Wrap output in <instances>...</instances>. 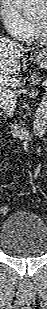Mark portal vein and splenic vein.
Segmentation results:
<instances>
[{
	"label": "portal vein and splenic vein",
	"mask_w": 47,
	"mask_h": 309,
	"mask_svg": "<svg viewBox=\"0 0 47 309\" xmlns=\"http://www.w3.org/2000/svg\"><path fill=\"white\" fill-rule=\"evenodd\" d=\"M2 84H8L10 86H18L20 84L19 80L17 79H9L8 77H2L0 79Z\"/></svg>",
	"instance_id": "obj_1"
}]
</instances>
